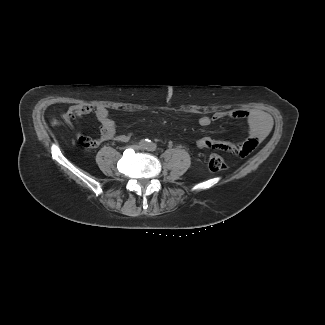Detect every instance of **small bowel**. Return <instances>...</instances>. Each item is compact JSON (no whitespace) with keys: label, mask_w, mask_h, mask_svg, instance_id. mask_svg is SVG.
Segmentation results:
<instances>
[{"label":"small bowel","mask_w":325,"mask_h":325,"mask_svg":"<svg viewBox=\"0 0 325 325\" xmlns=\"http://www.w3.org/2000/svg\"><path fill=\"white\" fill-rule=\"evenodd\" d=\"M94 113L100 123V136L96 139L78 134L79 143L85 148H96L105 141L115 140L118 142H128L131 134H118L114 120L110 117L109 111L104 106H91L77 104L71 106L65 114V118L70 126L73 122L83 116ZM226 117L244 119L248 124V135L241 143H231L218 141L209 136L198 141V146L207 150H222L235 156H246L251 153L256 146L265 138L272 127L271 117L261 110H233L228 113L218 112L214 115H202L198 122L201 126H208L214 121H219Z\"/></svg>","instance_id":"c3829d8e"}]
</instances>
